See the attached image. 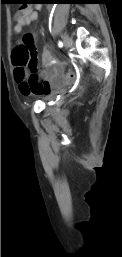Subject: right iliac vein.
Returning a JSON list of instances; mask_svg holds the SVG:
<instances>
[{
  "mask_svg": "<svg viewBox=\"0 0 122 257\" xmlns=\"http://www.w3.org/2000/svg\"><path fill=\"white\" fill-rule=\"evenodd\" d=\"M62 38H63L64 47H65L66 49L69 48V46L71 45V39L69 38V36L66 35V34H64V35L62 36Z\"/></svg>",
  "mask_w": 122,
  "mask_h": 257,
  "instance_id": "63e3f726",
  "label": "right iliac vein"
}]
</instances>
